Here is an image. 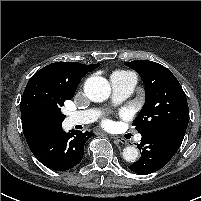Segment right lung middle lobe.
<instances>
[{"label": "right lung middle lobe", "instance_id": "1", "mask_svg": "<svg viewBox=\"0 0 201 201\" xmlns=\"http://www.w3.org/2000/svg\"><path fill=\"white\" fill-rule=\"evenodd\" d=\"M75 92L52 79L34 74L24 90L20 108L21 115L41 124H62L65 115L61 107Z\"/></svg>", "mask_w": 201, "mask_h": 201}]
</instances>
